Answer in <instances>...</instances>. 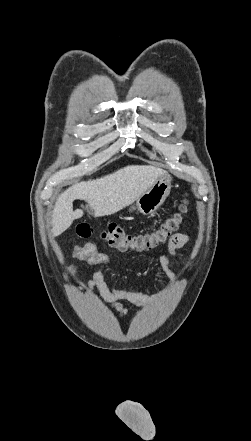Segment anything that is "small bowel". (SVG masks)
<instances>
[{"label": "small bowel", "instance_id": "small-bowel-1", "mask_svg": "<svg viewBox=\"0 0 251 441\" xmlns=\"http://www.w3.org/2000/svg\"><path fill=\"white\" fill-rule=\"evenodd\" d=\"M188 241L189 236L185 233L173 235L168 242L169 253L172 255L175 254L176 251L187 244ZM69 254L73 258L85 260L88 265L94 267L90 279L86 284L81 285L82 289L88 294H92L96 290L99 295L110 304V309L121 316H126L128 313L127 309L121 305V301H126L139 307H149L159 302L167 293V290H162L154 294H145L137 289L109 286L103 272L96 267L102 264L113 263V258L110 255L100 252L98 247L93 243H87L83 246L72 245L69 248ZM159 264L170 284H174L176 275L170 267L169 257L167 255H161ZM68 272L71 274L78 273L79 266L68 268Z\"/></svg>", "mask_w": 251, "mask_h": 441}]
</instances>
